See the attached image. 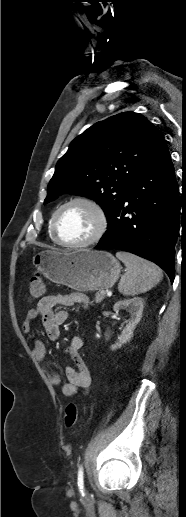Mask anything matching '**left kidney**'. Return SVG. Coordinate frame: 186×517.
Wrapping results in <instances>:
<instances>
[{
	"instance_id": "5707ae66",
	"label": "left kidney",
	"mask_w": 186,
	"mask_h": 517,
	"mask_svg": "<svg viewBox=\"0 0 186 517\" xmlns=\"http://www.w3.org/2000/svg\"><path fill=\"white\" fill-rule=\"evenodd\" d=\"M144 308V301L140 297H134L132 299L118 301L113 306L115 312L126 310L130 313V318L123 329L121 335L118 337V342L111 345V350L120 348L123 344L127 343L133 336V331L136 325L139 323Z\"/></svg>"
}]
</instances>
